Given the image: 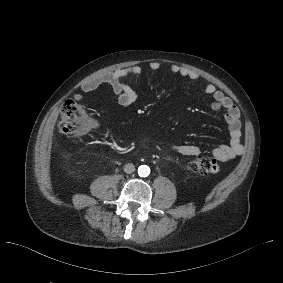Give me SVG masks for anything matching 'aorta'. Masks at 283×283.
I'll list each match as a JSON object with an SVG mask.
<instances>
[{
    "mask_svg": "<svg viewBox=\"0 0 283 283\" xmlns=\"http://www.w3.org/2000/svg\"><path fill=\"white\" fill-rule=\"evenodd\" d=\"M138 174L141 177H147L150 174V168L147 165H141L138 168Z\"/></svg>",
    "mask_w": 283,
    "mask_h": 283,
    "instance_id": "obj_1",
    "label": "aorta"
}]
</instances>
